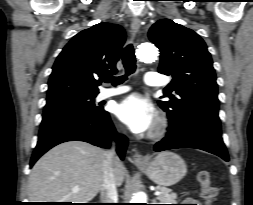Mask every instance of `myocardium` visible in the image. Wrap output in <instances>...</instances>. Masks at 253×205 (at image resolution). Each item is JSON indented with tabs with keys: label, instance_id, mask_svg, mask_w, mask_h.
Returning <instances> with one entry per match:
<instances>
[{
	"label": "myocardium",
	"instance_id": "myocardium-1",
	"mask_svg": "<svg viewBox=\"0 0 253 205\" xmlns=\"http://www.w3.org/2000/svg\"><path fill=\"white\" fill-rule=\"evenodd\" d=\"M166 128H167V123H166L165 119L159 118L155 127L153 128V130L149 134L150 138L162 137L166 132Z\"/></svg>",
	"mask_w": 253,
	"mask_h": 205
}]
</instances>
